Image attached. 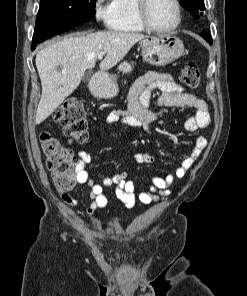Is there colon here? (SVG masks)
<instances>
[{
  "label": "colon",
  "instance_id": "1",
  "mask_svg": "<svg viewBox=\"0 0 247 296\" xmlns=\"http://www.w3.org/2000/svg\"><path fill=\"white\" fill-rule=\"evenodd\" d=\"M180 74L190 89L199 87L201 75L194 62H186L181 67ZM53 122L62 128L64 135L72 142L88 141L86 110L80 100H65L54 112ZM40 141L46 156V166L52 174L56 188L62 192L71 189L77 181L79 159L68 147L47 132L41 133Z\"/></svg>",
  "mask_w": 247,
  "mask_h": 296
}]
</instances>
